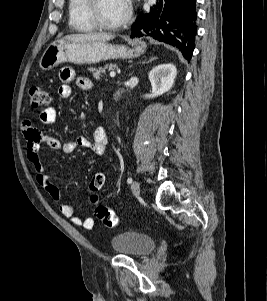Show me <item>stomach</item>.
<instances>
[{
	"label": "stomach",
	"mask_w": 267,
	"mask_h": 301,
	"mask_svg": "<svg viewBox=\"0 0 267 301\" xmlns=\"http://www.w3.org/2000/svg\"><path fill=\"white\" fill-rule=\"evenodd\" d=\"M143 43L112 45L105 41L74 42L58 40L51 43L40 58L39 66L42 70H51L59 64L71 62L75 64H94L100 61L117 58H133L145 52Z\"/></svg>",
	"instance_id": "1"
}]
</instances>
